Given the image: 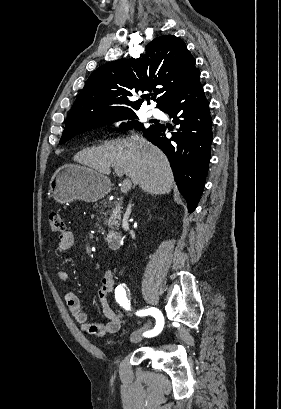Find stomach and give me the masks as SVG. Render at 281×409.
Instances as JSON below:
<instances>
[{
    "label": "stomach",
    "instance_id": "stomach-1",
    "mask_svg": "<svg viewBox=\"0 0 281 409\" xmlns=\"http://www.w3.org/2000/svg\"><path fill=\"white\" fill-rule=\"evenodd\" d=\"M50 192L56 202L66 205L72 200L96 202L111 190L108 176L86 164H63L54 172Z\"/></svg>",
    "mask_w": 281,
    "mask_h": 409
}]
</instances>
